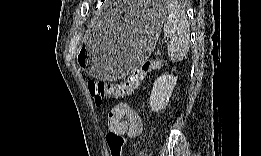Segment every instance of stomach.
<instances>
[{
  "instance_id": "0dacf381",
  "label": "stomach",
  "mask_w": 261,
  "mask_h": 156,
  "mask_svg": "<svg viewBox=\"0 0 261 156\" xmlns=\"http://www.w3.org/2000/svg\"><path fill=\"white\" fill-rule=\"evenodd\" d=\"M137 11L125 22L108 29L95 22L78 61L94 78L114 80L125 77L152 53L166 18L159 2H138Z\"/></svg>"
}]
</instances>
